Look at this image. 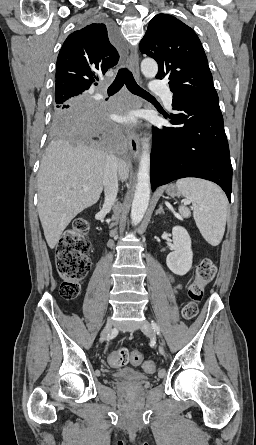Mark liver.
Wrapping results in <instances>:
<instances>
[{"label":"liver","mask_w":256,"mask_h":445,"mask_svg":"<svg viewBox=\"0 0 256 445\" xmlns=\"http://www.w3.org/2000/svg\"><path fill=\"white\" fill-rule=\"evenodd\" d=\"M107 156L98 145L84 142L57 139L47 147L37 179L38 214L51 249L71 220L99 200ZM118 173L121 180L128 178V165L121 159Z\"/></svg>","instance_id":"obj_1"}]
</instances>
